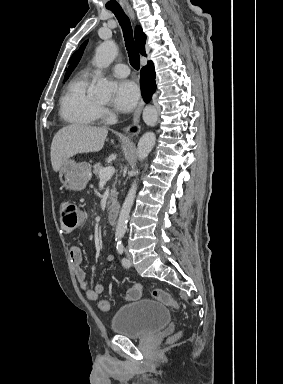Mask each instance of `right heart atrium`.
Returning <instances> with one entry per match:
<instances>
[{
    "mask_svg": "<svg viewBox=\"0 0 283 384\" xmlns=\"http://www.w3.org/2000/svg\"><path fill=\"white\" fill-rule=\"evenodd\" d=\"M101 114H102L103 116H107V115H108V110H107L106 108H102V109H101Z\"/></svg>",
    "mask_w": 283,
    "mask_h": 384,
    "instance_id": "1",
    "label": "right heart atrium"
}]
</instances>
